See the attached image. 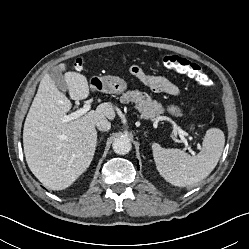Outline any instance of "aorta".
<instances>
[{"instance_id":"762f6f07","label":"aorta","mask_w":249,"mask_h":249,"mask_svg":"<svg viewBox=\"0 0 249 249\" xmlns=\"http://www.w3.org/2000/svg\"><path fill=\"white\" fill-rule=\"evenodd\" d=\"M112 148L116 154L125 155L130 152L132 144L127 137H118L112 143Z\"/></svg>"}]
</instances>
